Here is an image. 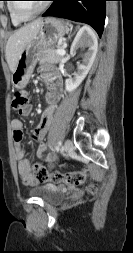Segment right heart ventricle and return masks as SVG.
I'll list each match as a JSON object with an SVG mask.
<instances>
[{
  "label": "right heart ventricle",
  "mask_w": 133,
  "mask_h": 253,
  "mask_svg": "<svg viewBox=\"0 0 133 253\" xmlns=\"http://www.w3.org/2000/svg\"><path fill=\"white\" fill-rule=\"evenodd\" d=\"M7 11H8V13H9L11 23H12L14 26H19V25L22 24L23 21L18 20V19L14 16V14H13V12H12V9H11V3H10V2L7 4Z\"/></svg>",
  "instance_id": "right-heart-ventricle-1"
}]
</instances>
